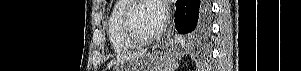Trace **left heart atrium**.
Here are the masks:
<instances>
[{
  "instance_id": "39dd6f15",
  "label": "left heart atrium",
  "mask_w": 301,
  "mask_h": 71,
  "mask_svg": "<svg viewBox=\"0 0 301 71\" xmlns=\"http://www.w3.org/2000/svg\"><path fill=\"white\" fill-rule=\"evenodd\" d=\"M156 4H157V8H158L161 23H162V25H164L167 21V18H168L167 7L165 6V4H163L160 1H157Z\"/></svg>"
}]
</instances>
